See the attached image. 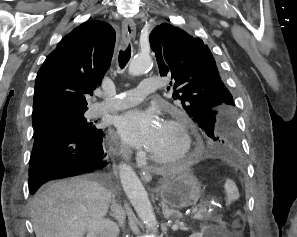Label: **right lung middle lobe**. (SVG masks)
Instances as JSON below:
<instances>
[{
	"mask_svg": "<svg viewBox=\"0 0 297 237\" xmlns=\"http://www.w3.org/2000/svg\"><path fill=\"white\" fill-rule=\"evenodd\" d=\"M53 122H63L77 133L85 136H93L100 130L97 129L93 123L87 122V119L84 117V112L59 111L33 120L34 134Z\"/></svg>",
	"mask_w": 297,
	"mask_h": 237,
	"instance_id": "obj_1",
	"label": "right lung middle lobe"
}]
</instances>
